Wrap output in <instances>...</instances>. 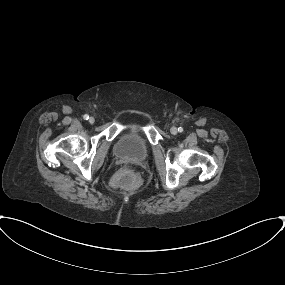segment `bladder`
<instances>
[{"mask_svg": "<svg viewBox=\"0 0 285 285\" xmlns=\"http://www.w3.org/2000/svg\"><path fill=\"white\" fill-rule=\"evenodd\" d=\"M149 154V144L139 126L130 123L115 144L114 155L117 158L144 160Z\"/></svg>", "mask_w": 285, "mask_h": 285, "instance_id": "31cf9c89", "label": "bladder"}]
</instances>
